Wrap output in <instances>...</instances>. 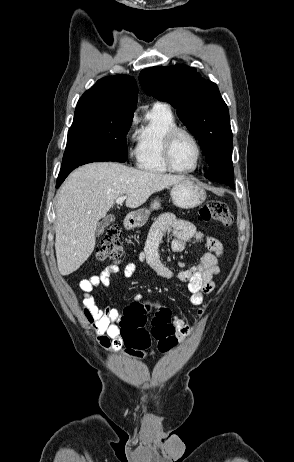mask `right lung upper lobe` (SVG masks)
Here are the masks:
<instances>
[{"label":"right lung upper lobe","mask_w":294,"mask_h":462,"mask_svg":"<svg viewBox=\"0 0 294 462\" xmlns=\"http://www.w3.org/2000/svg\"><path fill=\"white\" fill-rule=\"evenodd\" d=\"M137 94L138 88L133 77H104L82 95L75 111L106 110L133 114L138 100Z\"/></svg>","instance_id":"obj_1"}]
</instances>
